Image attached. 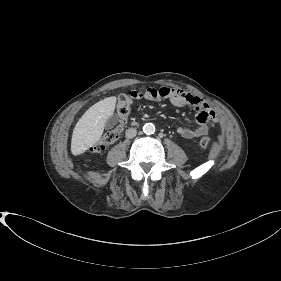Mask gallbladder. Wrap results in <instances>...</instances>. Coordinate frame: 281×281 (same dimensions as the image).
Listing matches in <instances>:
<instances>
[{
	"label": "gallbladder",
	"instance_id": "gallbladder-1",
	"mask_svg": "<svg viewBox=\"0 0 281 281\" xmlns=\"http://www.w3.org/2000/svg\"><path fill=\"white\" fill-rule=\"evenodd\" d=\"M118 122V118L117 116L115 115H112L111 117H109L107 120H106V123H105V128L106 129H111L113 128Z\"/></svg>",
	"mask_w": 281,
	"mask_h": 281
}]
</instances>
